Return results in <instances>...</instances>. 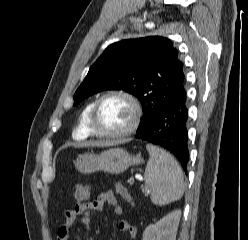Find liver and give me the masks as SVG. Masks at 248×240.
Segmentation results:
<instances>
[{
  "label": "liver",
  "mask_w": 248,
  "mask_h": 240,
  "mask_svg": "<svg viewBox=\"0 0 248 240\" xmlns=\"http://www.w3.org/2000/svg\"><path fill=\"white\" fill-rule=\"evenodd\" d=\"M87 145H90V146H99V145H101V143L95 142V143H89Z\"/></svg>",
  "instance_id": "obj_1"
}]
</instances>
